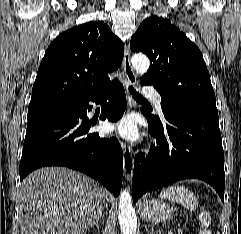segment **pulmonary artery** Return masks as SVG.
Instances as JSON below:
<instances>
[{
    "label": "pulmonary artery",
    "instance_id": "obj_1",
    "mask_svg": "<svg viewBox=\"0 0 241 234\" xmlns=\"http://www.w3.org/2000/svg\"><path fill=\"white\" fill-rule=\"evenodd\" d=\"M144 92L151 98L155 107L161 110V95L153 87L144 88Z\"/></svg>",
    "mask_w": 241,
    "mask_h": 234
}]
</instances>
